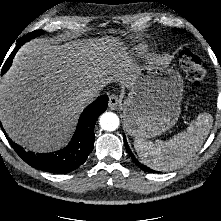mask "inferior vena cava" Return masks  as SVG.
<instances>
[{"label": "inferior vena cava", "instance_id": "602c4592", "mask_svg": "<svg viewBox=\"0 0 221 221\" xmlns=\"http://www.w3.org/2000/svg\"><path fill=\"white\" fill-rule=\"evenodd\" d=\"M98 91L99 90H97V89L84 90L78 94V96H77L78 101L82 104L91 103L98 96Z\"/></svg>", "mask_w": 221, "mask_h": 221}]
</instances>
